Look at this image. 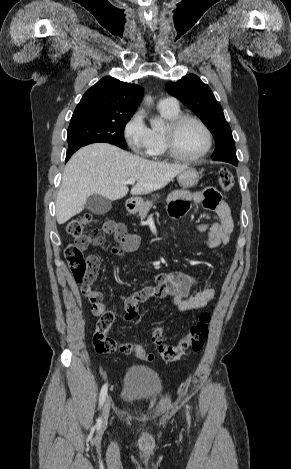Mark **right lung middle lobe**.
Returning <instances> with one entry per match:
<instances>
[{
	"instance_id": "1",
	"label": "right lung middle lobe",
	"mask_w": 291,
	"mask_h": 469,
	"mask_svg": "<svg viewBox=\"0 0 291 469\" xmlns=\"http://www.w3.org/2000/svg\"><path fill=\"white\" fill-rule=\"evenodd\" d=\"M130 118L123 115L73 114L67 131L68 149L96 142L126 149L124 129Z\"/></svg>"
}]
</instances>
